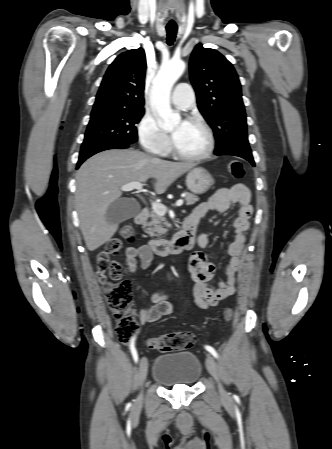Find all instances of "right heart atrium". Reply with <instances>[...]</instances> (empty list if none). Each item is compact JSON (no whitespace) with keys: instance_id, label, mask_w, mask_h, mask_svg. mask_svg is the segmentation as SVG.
<instances>
[{"instance_id":"obj_1","label":"right heart atrium","mask_w":332,"mask_h":449,"mask_svg":"<svg viewBox=\"0 0 332 449\" xmlns=\"http://www.w3.org/2000/svg\"><path fill=\"white\" fill-rule=\"evenodd\" d=\"M138 134L141 144L148 151L164 155L170 150V140L160 129L156 118L145 114L138 125Z\"/></svg>"}]
</instances>
